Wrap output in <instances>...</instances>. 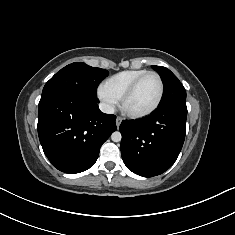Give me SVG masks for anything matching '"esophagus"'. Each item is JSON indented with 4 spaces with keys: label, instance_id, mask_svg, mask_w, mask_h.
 Masks as SVG:
<instances>
[{
    "label": "esophagus",
    "instance_id": "esophagus-1",
    "mask_svg": "<svg viewBox=\"0 0 235 235\" xmlns=\"http://www.w3.org/2000/svg\"><path fill=\"white\" fill-rule=\"evenodd\" d=\"M122 121H123V118L120 117V116H117V118H116V126L119 127L120 124L122 123Z\"/></svg>",
    "mask_w": 235,
    "mask_h": 235
}]
</instances>
